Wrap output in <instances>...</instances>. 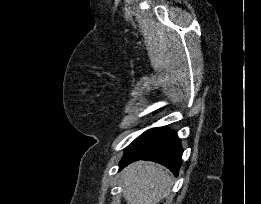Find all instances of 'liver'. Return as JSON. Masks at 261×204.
Returning a JSON list of instances; mask_svg holds the SVG:
<instances>
[{
	"label": "liver",
	"instance_id": "obj_1",
	"mask_svg": "<svg viewBox=\"0 0 261 204\" xmlns=\"http://www.w3.org/2000/svg\"><path fill=\"white\" fill-rule=\"evenodd\" d=\"M127 204H158L170 190L171 177L161 165L137 161L122 171Z\"/></svg>",
	"mask_w": 261,
	"mask_h": 204
}]
</instances>
